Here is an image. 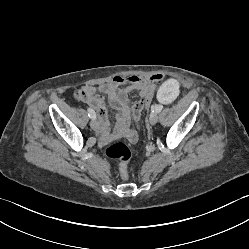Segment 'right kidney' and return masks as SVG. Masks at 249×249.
Wrapping results in <instances>:
<instances>
[{
    "label": "right kidney",
    "instance_id": "obj_1",
    "mask_svg": "<svg viewBox=\"0 0 249 249\" xmlns=\"http://www.w3.org/2000/svg\"><path fill=\"white\" fill-rule=\"evenodd\" d=\"M179 95V94H178ZM178 95H176V97L178 96ZM159 100V99H158ZM161 103H163L161 100H159Z\"/></svg>",
    "mask_w": 249,
    "mask_h": 249
}]
</instances>
